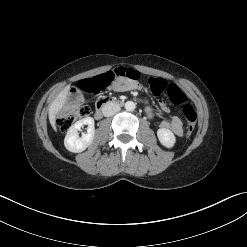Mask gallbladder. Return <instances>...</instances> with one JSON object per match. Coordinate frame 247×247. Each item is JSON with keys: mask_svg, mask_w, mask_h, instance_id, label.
I'll list each match as a JSON object with an SVG mask.
<instances>
[{"mask_svg": "<svg viewBox=\"0 0 247 247\" xmlns=\"http://www.w3.org/2000/svg\"><path fill=\"white\" fill-rule=\"evenodd\" d=\"M61 113V111H59L57 114H60Z\"/></svg>", "mask_w": 247, "mask_h": 247, "instance_id": "gallbladder-1", "label": "gallbladder"}]
</instances>
